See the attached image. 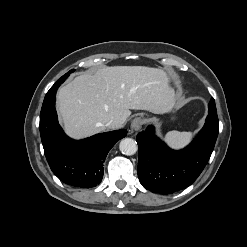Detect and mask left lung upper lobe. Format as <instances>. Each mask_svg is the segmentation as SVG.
<instances>
[{
    "label": "left lung upper lobe",
    "mask_w": 247,
    "mask_h": 247,
    "mask_svg": "<svg viewBox=\"0 0 247 247\" xmlns=\"http://www.w3.org/2000/svg\"><path fill=\"white\" fill-rule=\"evenodd\" d=\"M209 114L206 118V122L213 125V126H219V121H218V116H217V111H216V106H215V101L212 98L209 105Z\"/></svg>",
    "instance_id": "1"
}]
</instances>
